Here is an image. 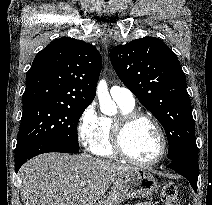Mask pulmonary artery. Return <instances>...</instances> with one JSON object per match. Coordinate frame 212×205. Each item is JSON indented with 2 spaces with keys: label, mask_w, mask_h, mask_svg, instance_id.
<instances>
[{
  "label": "pulmonary artery",
  "mask_w": 212,
  "mask_h": 205,
  "mask_svg": "<svg viewBox=\"0 0 212 205\" xmlns=\"http://www.w3.org/2000/svg\"><path fill=\"white\" fill-rule=\"evenodd\" d=\"M110 94L112 98L117 102L128 106L135 105V98L133 93L125 87L113 86L110 90Z\"/></svg>",
  "instance_id": "1"
}]
</instances>
